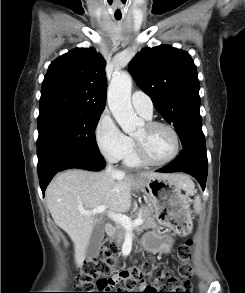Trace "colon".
I'll list each match as a JSON object with an SVG mask.
<instances>
[{
  "instance_id": "obj_1",
  "label": "colon",
  "mask_w": 245,
  "mask_h": 293,
  "mask_svg": "<svg viewBox=\"0 0 245 293\" xmlns=\"http://www.w3.org/2000/svg\"><path fill=\"white\" fill-rule=\"evenodd\" d=\"M190 228V217L185 216L182 221L175 224L174 231L183 235ZM116 253L115 243L107 237L103 238L100 257L84 264L77 277L79 288L83 291L80 293H119L111 292L118 284L129 290H142V293H156L155 291L159 287H162L165 292L158 293H192L191 241L181 245L177 252L181 282L171 277L170 272L163 264L155 263L152 260L120 270L121 263ZM94 290L101 292H91Z\"/></svg>"
}]
</instances>
